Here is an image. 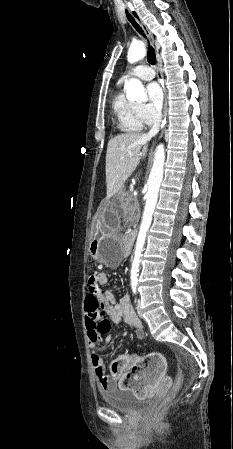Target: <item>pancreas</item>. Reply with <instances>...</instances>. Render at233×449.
Returning <instances> with one entry per match:
<instances>
[{"mask_svg": "<svg viewBox=\"0 0 233 449\" xmlns=\"http://www.w3.org/2000/svg\"><path fill=\"white\" fill-rule=\"evenodd\" d=\"M125 197L128 202H133V205H127L124 210L126 212H129L131 216L137 217L139 214V206L137 203V198L130 193L125 194Z\"/></svg>", "mask_w": 233, "mask_h": 449, "instance_id": "pancreas-1", "label": "pancreas"}]
</instances>
